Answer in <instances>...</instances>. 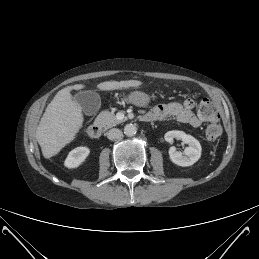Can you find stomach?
<instances>
[{"label":"stomach","instance_id":"obj_1","mask_svg":"<svg viewBox=\"0 0 259 259\" xmlns=\"http://www.w3.org/2000/svg\"><path fill=\"white\" fill-rule=\"evenodd\" d=\"M126 100L134 105L144 107L149 103V96L143 92L134 91L126 97Z\"/></svg>","mask_w":259,"mask_h":259}]
</instances>
